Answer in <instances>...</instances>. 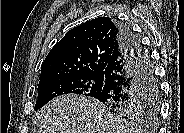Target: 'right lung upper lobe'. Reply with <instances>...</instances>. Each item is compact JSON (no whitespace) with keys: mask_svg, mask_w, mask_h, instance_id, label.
Here are the masks:
<instances>
[{"mask_svg":"<svg viewBox=\"0 0 184 133\" xmlns=\"http://www.w3.org/2000/svg\"><path fill=\"white\" fill-rule=\"evenodd\" d=\"M116 20L98 17L73 29L54 45L41 65L38 88L64 77L103 75L119 46Z\"/></svg>","mask_w":184,"mask_h":133,"instance_id":"right-lung-upper-lobe-1","label":"right lung upper lobe"}]
</instances>
